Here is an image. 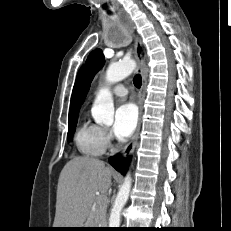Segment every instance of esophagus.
<instances>
[{"instance_id": "34e87169", "label": "esophagus", "mask_w": 231, "mask_h": 231, "mask_svg": "<svg viewBox=\"0 0 231 231\" xmlns=\"http://www.w3.org/2000/svg\"><path fill=\"white\" fill-rule=\"evenodd\" d=\"M134 47H135V59L137 62L136 71H137V73H140L142 75L143 84H142L141 90L139 92V101H138L139 117H138L137 128L135 130L134 135L132 136V138L126 144V146L124 147V149L122 151L123 157H127V156L131 155L135 149V146H136L137 140H138V136H139V132H140V128H141V118H142V114H143L146 63H145V55H144V48H143L142 40L138 35H136L134 38Z\"/></svg>"}]
</instances>
